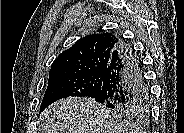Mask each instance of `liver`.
Wrapping results in <instances>:
<instances>
[{"mask_svg":"<svg viewBox=\"0 0 184 133\" xmlns=\"http://www.w3.org/2000/svg\"><path fill=\"white\" fill-rule=\"evenodd\" d=\"M43 133H128L119 121L94 99L68 97L50 105L40 117Z\"/></svg>","mask_w":184,"mask_h":133,"instance_id":"liver-1","label":"liver"}]
</instances>
